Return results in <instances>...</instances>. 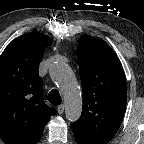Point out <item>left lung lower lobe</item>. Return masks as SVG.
Segmentation results:
<instances>
[{
	"label": "left lung lower lobe",
	"mask_w": 144,
	"mask_h": 144,
	"mask_svg": "<svg viewBox=\"0 0 144 144\" xmlns=\"http://www.w3.org/2000/svg\"><path fill=\"white\" fill-rule=\"evenodd\" d=\"M75 139H76V141H77L78 144H91L89 142L82 141V140H80L78 138H75Z\"/></svg>",
	"instance_id": "left-lung-lower-lobe-1"
}]
</instances>
